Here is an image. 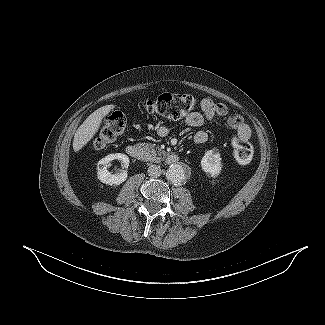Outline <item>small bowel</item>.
<instances>
[{
    "label": "small bowel",
    "mask_w": 325,
    "mask_h": 325,
    "mask_svg": "<svg viewBox=\"0 0 325 325\" xmlns=\"http://www.w3.org/2000/svg\"><path fill=\"white\" fill-rule=\"evenodd\" d=\"M201 112H192L186 116L184 122L190 127H201L206 120H215L226 118L229 128L236 132V137L242 141H249L251 138V129L244 122L242 116L238 113L229 114L228 107L223 103L214 102L210 98H204L200 102ZM159 136L166 137L169 129L166 126H160L157 130ZM197 144L205 143L208 140V134L204 130H198L193 136Z\"/></svg>",
    "instance_id": "small-bowel-1"
}]
</instances>
